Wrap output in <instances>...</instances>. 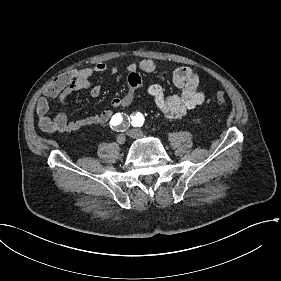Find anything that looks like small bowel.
<instances>
[{
  "instance_id": "small-bowel-1",
  "label": "small bowel",
  "mask_w": 281,
  "mask_h": 281,
  "mask_svg": "<svg viewBox=\"0 0 281 281\" xmlns=\"http://www.w3.org/2000/svg\"><path fill=\"white\" fill-rule=\"evenodd\" d=\"M156 64L151 59L142 60L140 63L127 65L128 86L122 97H114L110 108L96 115H90L79 119H69L65 112L54 117L48 115L49 98H57L64 108L69 103L70 95L78 90H89L91 97L96 98L101 93L99 85L92 84L91 79L95 74L110 71L118 72L116 67L109 68L106 63L99 62L93 67L73 70L56 77L45 89L44 96L38 100L37 116L40 128L47 133L74 132L84 127L107 123L118 109L127 108L131 105L135 92L142 86L139 71L152 73ZM173 83L179 89V93L165 95L159 85H151L148 94L154 100L158 110L167 118L178 119L205 100V95L199 90V77L188 67H179L172 73Z\"/></svg>"
}]
</instances>
